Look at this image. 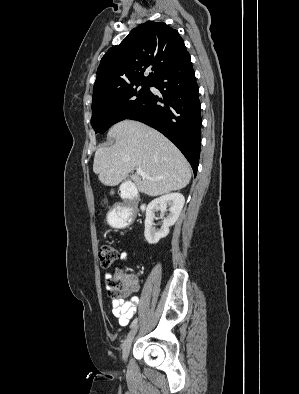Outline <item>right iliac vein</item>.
Listing matches in <instances>:
<instances>
[{"mask_svg":"<svg viewBox=\"0 0 299 394\" xmlns=\"http://www.w3.org/2000/svg\"><path fill=\"white\" fill-rule=\"evenodd\" d=\"M136 332H137V326H135L131 329V331L128 333V335L124 341L123 349H122V358L124 361H126V359L128 357L130 347H131V344H132V341L134 339Z\"/></svg>","mask_w":299,"mask_h":394,"instance_id":"1","label":"right iliac vein"}]
</instances>
